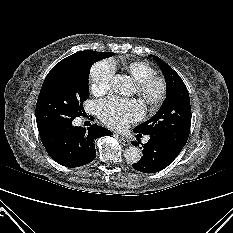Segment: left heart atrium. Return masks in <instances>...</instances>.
<instances>
[{"instance_id":"1","label":"left heart atrium","mask_w":233,"mask_h":233,"mask_svg":"<svg viewBox=\"0 0 233 233\" xmlns=\"http://www.w3.org/2000/svg\"><path fill=\"white\" fill-rule=\"evenodd\" d=\"M97 113L106 125L122 130L143 117L144 107L135 99L110 97L98 103Z\"/></svg>"}]
</instances>
